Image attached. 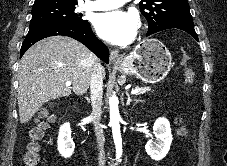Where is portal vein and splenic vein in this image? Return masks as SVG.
Returning <instances> with one entry per match:
<instances>
[{
    "mask_svg": "<svg viewBox=\"0 0 227 166\" xmlns=\"http://www.w3.org/2000/svg\"><path fill=\"white\" fill-rule=\"evenodd\" d=\"M71 82L70 81H67L66 82V86H71ZM141 92V89L140 88H135L134 90L131 91V94L132 95H136V94H139Z\"/></svg>",
    "mask_w": 227,
    "mask_h": 166,
    "instance_id": "18ae733b",
    "label": "portal vein and splenic vein"
}]
</instances>
